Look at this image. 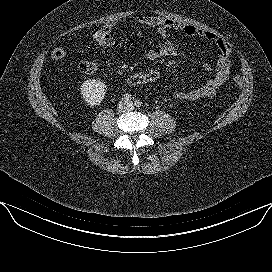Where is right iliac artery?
Wrapping results in <instances>:
<instances>
[{"label": "right iliac artery", "instance_id": "obj_1", "mask_svg": "<svg viewBox=\"0 0 272 272\" xmlns=\"http://www.w3.org/2000/svg\"><path fill=\"white\" fill-rule=\"evenodd\" d=\"M122 100H123L124 102L130 101V100H131V95H130V94H125V95H123Z\"/></svg>", "mask_w": 272, "mask_h": 272}]
</instances>
